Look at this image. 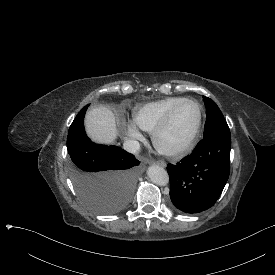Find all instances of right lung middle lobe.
Wrapping results in <instances>:
<instances>
[{
    "mask_svg": "<svg viewBox=\"0 0 275 275\" xmlns=\"http://www.w3.org/2000/svg\"><path fill=\"white\" fill-rule=\"evenodd\" d=\"M84 106L71 124L67 149L69 174L80 200L92 211L111 215L130 203L142 168L134 155L117 146L92 142L84 129Z\"/></svg>",
    "mask_w": 275,
    "mask_h": 275,
    "instance_id": "dd1d6c3e",
    "label": "right lung middle lobe"
}]
</instances>
